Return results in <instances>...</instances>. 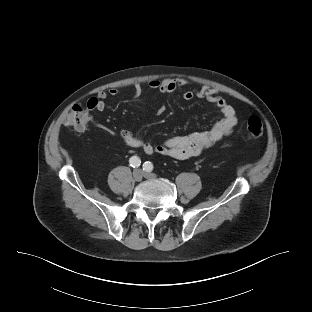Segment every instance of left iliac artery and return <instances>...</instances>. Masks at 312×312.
<instances>
[{"mask_svg": "<svg viewBox=\"0 0 312 312\" xmlns=\"http://www.w3.org/2000/svg\"><path fill=\"white\" fill-rule=\"evenodd\" d=\"M143 170L146 172H151L153 170V164L150 161H147L143 164Z\"/></svg>", "mask_w": 312, "mask_h": 312, "instance_id": "obj_1", "label": "left iliac artery"}]
</instances>
